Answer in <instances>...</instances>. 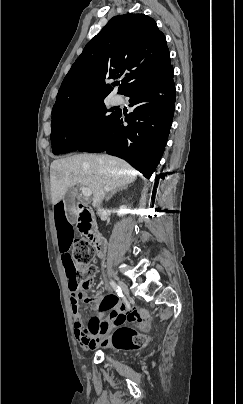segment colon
<instances>
[{"mask_svg": "<svg viewBox=\"0 0 243 404\" xmlns=\"http://www.w3.org/2000/svg\"><path fill=\"white\" fill-rule=\"evenodd\" d=\"M75 283L88 288L96 272L94 250L87 240H76L72 251ZM112 345L117 349H130L144 343V338L129 327H120L112 334Z\"/></svg>", "mask_w": 243, "mask_h": 404, "instance_id": "1", "label": "colon"}]
</instances>
